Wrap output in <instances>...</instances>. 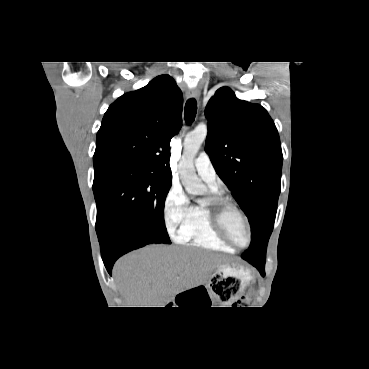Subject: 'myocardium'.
I'll use <instances>...</instances> for the list:
<instances>
[{
  "label": "myocardium",
  "mask_w": 369,
  "mask_h": 369,
  "mask_svg": "<svg viewBox=\"0 0 369 369\" xmlns=\"http://www.w3.org/2000/svg\"><path fill=\"white\" fill-rule=\"evenodd\" d=\"M204 206L206 207L210 221L213 229L219 235V237L227 243L229 246L235 249H245L249 247L252 241V230L249 223V220L244 213V211L233 201L230 199L219 196V195H212L207 198L204 202ZM233 210L241 217L244 226L247 231V242L245 245H238L230 236L226 224H225V217L228 211Z\"/></svg>",
  "instance_id": "1"
}]
</instances>
